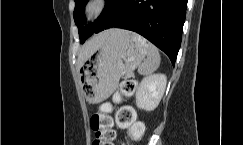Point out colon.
Returning a JSON list of instances; mask_svg holds the SVG:
<instances>
[{
	"label": "colon",
	"mask_w": 243,
	"mask_h": 145,
	"mask_svg": "<svg viewBox=\"0 0 243 145\" xmlns=\"http://www.w3.org/2000/svg\"><path fill=\"white\" fill-rule=\"evenodd\" d=\"M136 81L124 79L119 85V95L130 96L135 92ZM110 104H103L99 111L91 116L90 126L95 132V140L92 145H113L115 131L113 129L114 120L110 113ZM115 123L119 128L128 129L129 135L133 140H139L145 132L144 124L136 120L135 110L130 106L120 107L115 115Z\"/></svg>",
	"instance_id": "5ec220e1"
}]
</instances>
